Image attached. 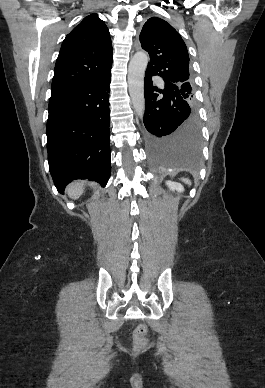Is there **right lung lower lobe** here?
<instances>
[{
  "instance_id": "right-lung-lower-lobe-1",
  "label": "right lung lower lobe",
  "mask_w": 265,
  "mask_h": 388,
  "mask_svg": "<svg viewBox=\"0 0 265 388\" xmlns=\"http://www.w3.org/2000/svg\"><path fill=\"white\" fill-rule=\"evenodd\" d=\"M110 77L51 95L48 162L60 193L74 179L89 178L105 186L110 177Z\"/></svg>"
}]
</instances>
